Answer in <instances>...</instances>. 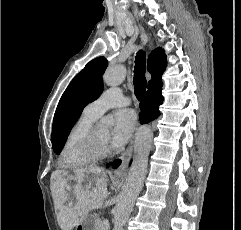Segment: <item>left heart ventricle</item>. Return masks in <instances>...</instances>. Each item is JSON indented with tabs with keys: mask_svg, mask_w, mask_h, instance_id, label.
<instances>
[{
	"mask_svg": "<svg viewBox=\"0 0 241 230\" xmlns=\"http://www.w3.org/2000/svg\"><path fill=\"white\" fill-rule=\"evenodd\" d=\"M95 137L98 144L102 147H108L109 131L103 127H96Z\"/></svg>",
	"mask_w": 241,
	"mask_h": 230,
	"instance_id": "b2bd125f",
	"label": "left heart ventricle"
}]
</instances>
